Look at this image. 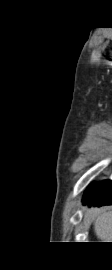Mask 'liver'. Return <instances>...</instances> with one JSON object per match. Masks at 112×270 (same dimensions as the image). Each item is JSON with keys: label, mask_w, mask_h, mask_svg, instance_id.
I'll return each mask as SVG.
<instances>
[{"label": "liver", "mask_w": 112, "mask_h": 270, "mask_svg": "<svg viewBox=\"0 0 112 270\" xmlns=\"http://www.w3.org/2000/svg\"><path fill=\"white\" fill-rule=\"evenodd\" d=\"M94 231L103 242H111L112 240V210L103 208L98 210V214L94 220Z\"/></svg>", "instance_id": "6515ba94"}]
</instances>
